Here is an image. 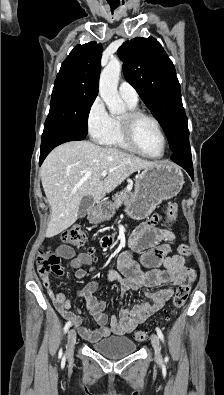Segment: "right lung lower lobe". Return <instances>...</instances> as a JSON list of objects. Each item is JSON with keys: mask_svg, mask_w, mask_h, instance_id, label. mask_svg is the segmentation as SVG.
<instances>
[{"mask_svg": "<svg viewBox=\"0 0 224 395\" xmlns=\"http://www.w3.org/2000/svg\"><path fill=\"white\" fill-rule=\"evenodd\" d=\"M85 136L86 135L84 134L76 132L66 124L46 121L44 125V132L42 134L39 164H42L45 157L56 146L68 141L83 140Z\"/></svg>", "mask_w": 224, "mask_h": 395, "instance_id": "98d812e1", "label": "right lung lower lobe"}]
</instances>
